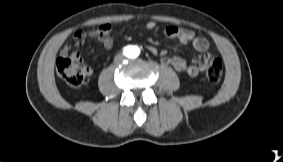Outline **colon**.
I'll list each match as a JSON object with an SVG mask.
<instances>
[{
	"instance_id": "obj_1",
	"label": "colon",
	"mask_w": 283,
	"mask_h": 162,
	"mask_svg": "<svg viewBox=\"0 0 283 162\" xmlns=\"http://www.w3.org/2000/svg\"><path fill=\"white\" fill-rule=\"evenodd\" d=\"M206 77L217 83L223 75V63L220 59L208 58ZM57 75L71 87H80L90 73L89 67L78 57L61 56L56 61Z\"/></svg>"
}]
</instances>
